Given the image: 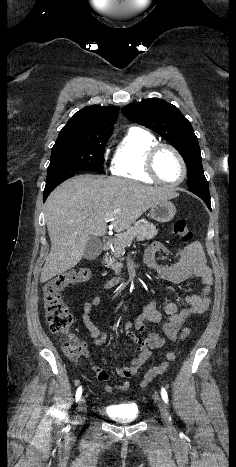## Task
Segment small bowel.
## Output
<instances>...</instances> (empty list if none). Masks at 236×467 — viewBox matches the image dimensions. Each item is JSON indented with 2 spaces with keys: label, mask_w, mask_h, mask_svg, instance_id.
<instances>
[{
  "label": "small bowel",
  "mask_w": 236,
  "mask_h": 467,
  "mask_svg": "<svg viewBox=\"0 0 236 467\" xmlns=\"http://www.w3.org/2000/svg\"><path fill=\"white\" fill-rule=\"evenodd\" d=\"M165 248L161 243L155 242L147 247L144 252V265L155 272L162 279L171 282H181L194 276L202 281L203 287L199 293L186 296V307L178 309L174 302H168L161 312L156 307L154 299L149 300L143 311L135 318L134 322H126L123 326L126 337L136 344L135 356L129 366H121L116 369L117 375L124 379L135 376L141 366L146 362L152 349H158L166 345L167 340L173 342L177 339L178 332L183 324L193 315L205 312L210 305V293L212 286V274L206 264L204 253L199 244L193 243L185 246L180 251V259L172 265H159L156 255ZM101 302L100 296H95L91 301L83 304L81 320L90 337L94 339L95 345L105 342L106 334L99 330L91 319V311L94 306ZM159 324L163 334L148 330V324ZM133 328L146 336H138L133 332ZM120 360L121 357L118 356ZM96 377L99 381L105 382L109 379L106 370L94 367ZM116 388L127 391L130 388L128 381H122L114 385ZM104 390L111 391L112 387L105 385Z\"/></svg>",
  "instance_id": "1"
}]
</instances>
